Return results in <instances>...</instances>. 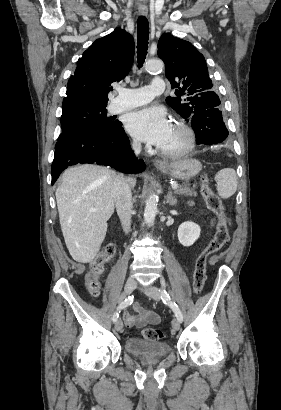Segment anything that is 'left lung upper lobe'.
Here are the masks:
<instances>
[{
  "label": "left lung upper lobe",
  "instance_id": "5c2ea615",
  "mask_svg": "<svg viewBox=\"0 0 281 410\" xmlns=\"http://www.w3.org/2000/svg\"><path fill=\"white\" fill-rule=\"evenodd\" d=\"M158 56L165 63L172 88H176V97H167L166 102L186 121L195 112L219 107L205 58L190 42L165 33L158 42Z\"/></svg>",
  "mask_w": 281,
  "mask_h": 410
}]
</instances>
